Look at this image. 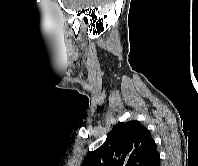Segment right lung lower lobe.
<instances>
[{
    "label": "right lung lower lobe",
    "instance_id": "98d812e1",
    "mask_svg": "<svg viewBox=\"0 0 198 166\" xmlns=\"http://www.w3.org/2000/svg\"><path fill=\"white\" fill-rule=\"evenodd\" d=\"M160 156L156 154L147 166H160Z\"/></svg>",
    "mask_w": 198,
    "mask_h": 166
}]
</instances>
